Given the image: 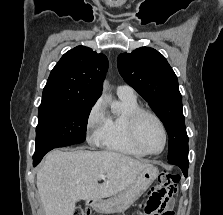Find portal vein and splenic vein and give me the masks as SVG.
Instances as JSON below:
<instances>
[{"mask_svg": "<svg viewBox=\"0 0 223 215\" xmlns=\"http://www.w3.org/2000/svg\"><path fill=\"white\" fill-rule=\"evenodd\" d=\"M97 177H101V179H103V177H106V175H103V173H99V175H97Z\"/></svg>", "mask_w": 223, "mask_h": 215, "instance_id": "18ae733b", "label": "portal vein and splenic vein"}]
</instances>
